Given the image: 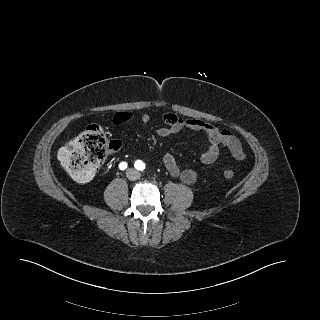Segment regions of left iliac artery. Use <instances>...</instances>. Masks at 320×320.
Wrapping results in <instances>:
<instances>
[{
	"label": "left iliac artery",
	"instance_id": "obj_1",
	"mask_svg": "<svg viewBox=\"0 0 320 320\" xmlns=\"http://www.w3.org/2000/svg\"><path fill=\"white\" fill-rule=\"evenodd\" d=\"M137 170L143 171L145 169V163L141 160H137L134 164Z\"/></svg>",
	"mask_w": 320,
	"mask_h": 320
}]
</instances>
